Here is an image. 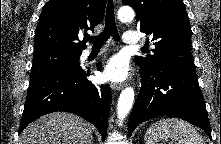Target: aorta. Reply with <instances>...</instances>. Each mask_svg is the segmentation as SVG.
Returning <instances> with one entry per match:
<instances>
[{"label": "aorta", "mask_w": 221, "mask_h": 144, "mask_svg": "<svg viewBox=\"0 0 221 144\" xmlns=\"http://www.w3.org/2000/svg\"><path fill=\"white\" fill-rule=\"evenodd\" d=\"M135 12L131 7H122L118 11V18L122 22H130L134 19ZM134 102V90L132 87H126L122 90L118 104L117 116L119 121H123L127 114L130 112Z\"/></svg>", "instance_id": "aorta-1"}]
</instances>
